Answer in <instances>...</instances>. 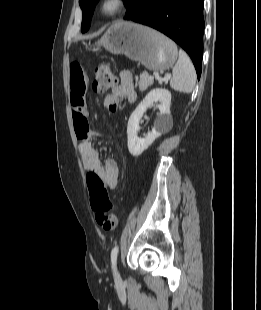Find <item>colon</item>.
<instances>
[{
	"label": "colon",
	"mask_w": 261,
	"mask_h": 310,
	"mask_svg": "<svg viewBox=\"0 0 261 310\" xmlns=\"http://www.w3.org/2000/svg\"><path fill=\"white\" fill-rule=\"evenodd\" d=\"M116 82V76L108 62H102L96 66L93 80L94 91L105 92ZM87 185L97 224L105 231L114 230L117 226V218L110 213L112 203L104 181L97 173L89 172L87 174Z\"/></svg>",
	"instance_id": "5ec220e1"
}]
</instances>
